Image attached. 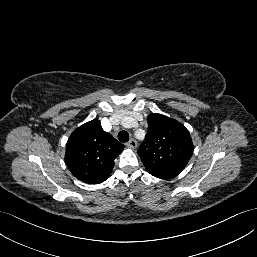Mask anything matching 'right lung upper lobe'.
Listing matches in <instances>:
<instances>
[{"label": "right lung upper lobe", "instance_id": "right-lung-upper-lobe-1", "mask_svg": "<svg viewBox=\"0 0 257 257\" xmlns=\"http://www.w3.org/2000/svg\"><path fill=\"white\" fill-rule=\"evenodd\" d=\"M124 145L105 132L99 120L89 121L70 135L65 162L77 179L88 184L105 181L114 167V159Z\"/></svg>", "mask_w": 257, "mask_h": 257}]
</instances>
